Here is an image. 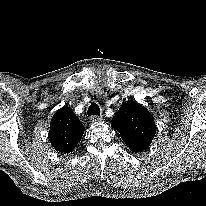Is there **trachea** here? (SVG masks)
I'll return each mask as SVG.
<instances>
[{"instance_id": "3493384b", "label": "trachea", "mask_w": 206, "mask_h": 206, "mask_svg": "<svg viewBox=\"0 0 206 206\" xmlns=\"http://www.w3.org/2000/svg\"><path fill=\"white\" fill-rule=\"evenodd\" d=\"M88 116H99L100 115V108L98 104L95 102L91 103L88 111H87Z\"/></svg>"}]
</instances>
